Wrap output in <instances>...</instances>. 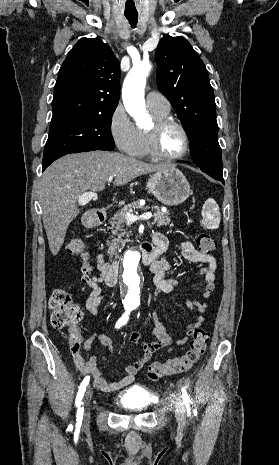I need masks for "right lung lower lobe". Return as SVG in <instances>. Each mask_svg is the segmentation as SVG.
<instances>
[{"mask_svg":"<svg viewBox=\"0 0 279 465\" xmlns=\"http://www.w3.org/2000/svg\"><path fill=\"white\" fill-rule=\"evenodd\" d=\"M93 150H113V149H110L109 147H106V146H89V147H86L84 151L88 152V151H93ZM48 165H42V171H44L46 169Z\"/></svg>","mask_w":279,"mask_h":465,"instance_id":"right-lung-lower-lobe-1","label":"right lung lower lobe"}]
</instances>
